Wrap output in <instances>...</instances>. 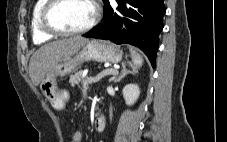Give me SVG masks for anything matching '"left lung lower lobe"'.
<instances>
[{
    "mask_svg": "<svg viewBox=\"0 0 227 142\" xmlns=\"http://www.w3.org/2000/svg\"><path fill=\"white\" fill-rule=\"evenodd\" d=\"M118 7L108 3L101 25L85 37L128 43L139 47L155 67L159 33L163 29L166 12L163 0H116Z\"/></svg>",
    "mask_w": 227,
    "mask_h": 142,
    "instance_id": "0a47b994",
    "label": "left lung lower lobe"
}]
</instances>
